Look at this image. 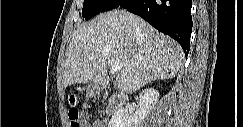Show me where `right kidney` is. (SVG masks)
<instances>
[{"mask_svg":"<svg viewBox=\"0 0 243 127\" xmlns=\"http://www.w3.org/2000/svg\"><path fill=\"white\" fill-rule=\"evenodd\" d=\"M138 109L129 114L127 108L118 109L110 119L108 127H138L148 113L155 108L159 98V92L148 88L140 93Z\"/></svg>","mask_w":243,"mask_h":127,"instance_id":"right-kidney-1","label":"right kidney"}]
</instances>
